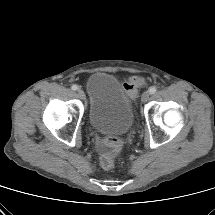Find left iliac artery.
Listing matches in <instances>:
<instances>
[{
    "mask_svg": "<svg viewBox=\"0 0 215 215\" xmlns=\"http://www.w3.org/2000/svg\"><path fill=\"white\" fill-rule=\"evenodd\" d=\"M157 91L156 87H150L149 92L150 94H154Z\"/></svg>",
    "mask_w": 215,
    "mask_h": 215,
    "instance_id": "obj_1",
    "label": "left iliac artery"
}]
</instances>
